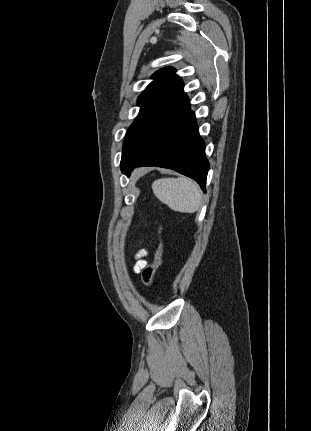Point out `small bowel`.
Listing matches in <instances>:
<instances>
[{"instance_id":"small-bowel-1","label":"small bowel","mask_w":311,"mask_h":431,"mask_svg":"<svg viewBox=\"0 0 311 431\" xmlns=\"http://www.w3.org/2000/svg\"><path fill=\"white\" fill-rule=\"evenodd\" d=\"M146 255H147V251L145 249H140L137 252L136 254L137 261L134 266L135 271L138 272L146 266L147 262L143 259Z\"/></svg>"}]
</instances>
